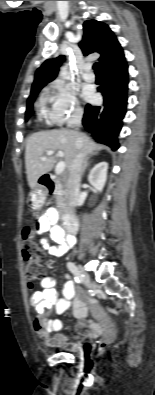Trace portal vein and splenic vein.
Instances as JSON below:
<instances>
[{"instance_id": "1", "label": "portal vein and splenic vein", "mask_w": 155, "mask_h": 395, "mask_svg": "<svg viewBox=\"0 0 155 395\" xmlns=\"http://www.w3.org/2000/svg\"><path fill=\"white\" fill-rule=\"evenodd\" d=\"M52 154H54V151H53V150L47 151V155H48V156H51ZM57 154H58V156H60V157H63V156H64V153H63L62 151H58ZM42 160H45V157H43ZM65 166H66V164H65L64 161L58 162V164L56 165V168H55V173H56L57 175H60V174L64 171Z\"/></svg>"}]
</instances>
